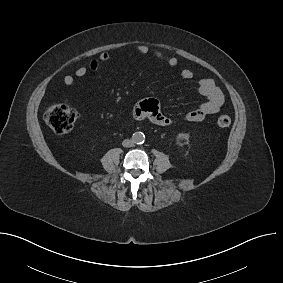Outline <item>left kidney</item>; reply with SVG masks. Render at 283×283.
Wrapping results in <instances>:
<instances>
[{
  "mask_svg": "<svg viewBox=\"0 0 283 283\" xmlns=\"http://www.w3.org/2000/svg\"><path fill=\"white\" fill-rule=\"evenodd\" d=\"M190 135L188 133H179L177 139L179 140H189Z\"/></svg>",
  "mask_w": 283,
  "mask_h": 283,
  "instance_id": "left-kidney-1",
  "label": "left kidney"
}]
</instances>
